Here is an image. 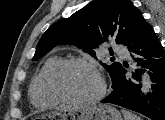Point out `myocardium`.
Listing matches in <instances>:
<instances>
[{
  "label": "myocardium",
  "instance_id": "f54148a6",
  "mask_svg": "<svg viewBox=\"0 0 165 120\" xmlns=\"http://www.w3.org/2000/svg\"><path fill=\"white\" fill-rule=\"evenodd\" d=\"M72 65H80V66L87 67L96 74V76L98 77V79L100 81V89L95 95H93L91 97H87V98L73 99V98H68V97L62 95L58 91V89L56 88V85H55V80H56L57 75L64 68H66L68 66H72ZM45 85H46V89H47L48 93L50 94V96L52 98H54L56 101L63 102V103H69V104H78V105L92 104V103L98 102L99 100H101L104 97L106 90H107L106 81H105L103 75L101 74V72L99 71V69L96 67V65L86 59L76 58V57L59 60L49 71V73L46 77Z\"/></svg>",
  "mask_w": 165,
  "mask_h": 120
}]
</instances>
